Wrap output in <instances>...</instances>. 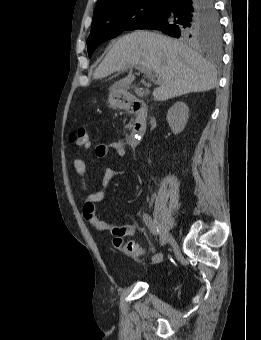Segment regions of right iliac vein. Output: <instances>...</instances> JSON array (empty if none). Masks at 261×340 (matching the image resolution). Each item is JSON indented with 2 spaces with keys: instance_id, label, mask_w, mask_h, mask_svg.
I'll return each instance as SVG.
<instances>
[{
  "instance_id": "1",
  "label": "right iliac vein",
  "mask_w": 261,
  "mask_h": 340,
  "mask_svg": "<svg viewBox=\"0 0 261 340\" xmlns=\"http://www.w3.org/2000/svg\"><path fill=\"white\" fill-rule=\"evenodd\" d=\"M171 240L170 233L167 229H164L160 237V245L164 247Z\"/></svg>"
}]
</instances>
